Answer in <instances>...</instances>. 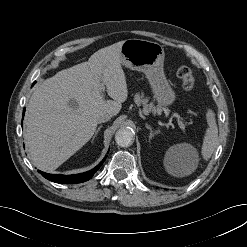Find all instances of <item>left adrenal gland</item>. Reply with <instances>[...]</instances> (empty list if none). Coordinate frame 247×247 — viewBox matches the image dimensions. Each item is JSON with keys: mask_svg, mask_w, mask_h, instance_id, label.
<instances>
[{"mask_svg": "<svg viewBox=\"0 0 247 247\" xmlns=\"http://www.w3.org/2000/svg\"><path fill=\"white\" fill-rule=\"evenodd\" d=\"M146 128L150 131V134H149V139H151L152 137H154L155 134L158 133V131H153L151 126L146 124Z\"/></svg>", "mask_w": 247, "mask_h": 247, "instance_id": "a2214340", "label": "left adrenal gland"}]
</instances>
